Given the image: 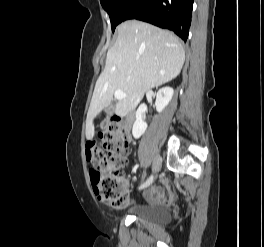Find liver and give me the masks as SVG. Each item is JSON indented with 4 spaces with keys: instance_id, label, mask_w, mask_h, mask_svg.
<instances>
[{
    "instance_id": "6515ba94",
    "label": "liver",
    "mask_w": 264,
    "mask_h": 247,
    "mask_svg": "<svg viewBox=\"0 0 264 247\" xmlns=\"http://www.w3.org/2000/svg\"><path fill=\"white\" fill-rule=\"evenodd\" d=\"M117 31L116 42L107 52L105 68L90 103L87 140H92L95 134L93 119L111 104L115 90L127 95L115 107L117 115L126 116L147 90L177 77L185 61L181 42L169 31L136 20L121 23Z\"/></svg>"
}]
</instances>
